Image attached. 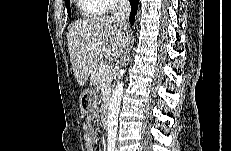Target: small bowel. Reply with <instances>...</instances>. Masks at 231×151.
Instances as JSON below:
<instances>
[{
    "mask_svg": "<svg viewBox=\"0 0 231 151\" xmlns=\"http://www.w3.org/2000/svg\"><path fill=\"white\" fill-rule=\"evenodd\" d=\"M83 129L85 132L84 140H85L86 151H93L96 136L93 128V120L91 117H88L86 119V121L83 124Z\"/></svg>",
    "mask_w": 231,
    "mask_h": 151,
    "instance_id": "small-bowel-1",
    "label": "small bowel"
}]
</instances>
